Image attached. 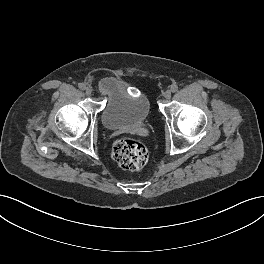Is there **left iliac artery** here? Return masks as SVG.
<instances>
[{
	"instance_id": "left-iliac-artery-1",
	"label": "left iliac artery",
	"mask_w": 264,
	"mask_h": 264,
	"mask_svg": "<svg viewBox=\"0 0 264 264\" xmlns=\"http://www.w3.org/2000/svg\"><path fill=\"white\" fill-rule=\"evenodd\" d=\"M178 90V86L177 85H172L171 86V91L172 92H176Z\"/></svg>"
}]
</instances>
